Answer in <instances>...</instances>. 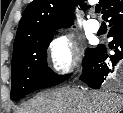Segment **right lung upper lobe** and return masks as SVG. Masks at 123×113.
<instances>
[{"instance_id": "right-lung-upper-lobe-1", "label": "right lung upper lobe", "mask_w": 123, "mask_h": 113, "mask_svg": "<svg viewBox=\"0 0 123 113\" xmlns=\"http://www.w3.org/2000/svg\"><path fill=\"white\" fill-rule=\"evenodd\" d=\"M85 0H33L24 10L20 20L14 47L24 42L46 35L55 34L56 30L72 24L74 7L79 5L86 10ZM114 0H99L105 15ZM103 15V16H104Z\"/></svg>"}]
</instances>
